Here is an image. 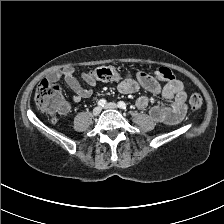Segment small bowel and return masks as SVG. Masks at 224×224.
Listing matches in <instances>:
<instances>
[{"label": "small bowel", "mask_w": 224, "mask_h": 224, "mask_svg": "<svg viewBox=\"0 0 224 224\" xmlns=\"http://www.w3.org/2000/svg\"><path fill=\"white\" fill-rule=\"evenodd\" d=\"M76 74L77 71L74 67L67 66L61 70L53 71L49 75L48 80L56 82L63 78L69 88L74 92L73 101L79 102L83 98H88L92 95L93 92L90 87L95 86L96 81L89 74L81 73L82 79L90 86L84 87L79 82ZM140 87L152 94H160L164 100L170 102L168 106L156 105L149 110V115L153 121L167 125H175L184 119L187 94L185 86L180 80L174 79L167 82L163 87H160L152 77L147 74H140L137 79L126 77L118 84L120 92L125 94L134 93ZM136 104L139 109L145 110L149 106V98L147 96H141L137 99Z\"/></svg>", "instance_id": "c3829d8e"}]
</instances>
